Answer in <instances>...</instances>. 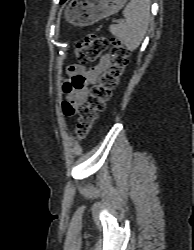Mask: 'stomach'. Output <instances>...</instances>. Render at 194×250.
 Listing matches in <instances>:
<instances>
[{
    "label": "stomach",
    "instance_id": "stomach-1",
    "mask_svg": "<svg viewBox=\"0 0 194 250\" xmlns=\"http://www.w3.org/2000/svg\"><path fill=\"white\" fill-rule=\"evenodd\" d=\"M127 0H72L66 8V20L77 26H88L117 13Z\"/></svg>",
    "mask_w": 194,
    "mask_h": 250
}]
</instances>
